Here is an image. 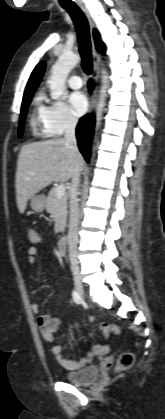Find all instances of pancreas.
Instances as JSON below:
<instances>
[{
	"instance_id": "1",
	"label": "pancreas",
	"mask_w": 165,
	"mask_h": 419,
	"mask_svg": "<svg viewBox=\"0 0 165 419\" xmlns=\"http://www.w3.org/2000/svg\"><path fill=\"white\" fill-rule=\"evenodd\" d=\"M67 200L68 196L63 195L60 198L56 195V188H52L48 193L45 208L51 214L55 222V233L63 232L67 220Z\"/></svg>"
}]
</instances>
